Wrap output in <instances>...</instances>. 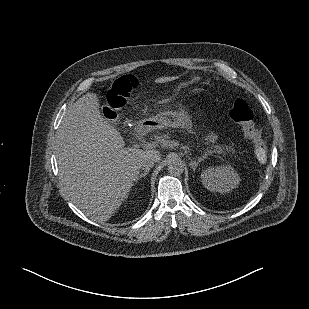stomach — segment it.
<instances>
[{
  "label": "stomach",
  "instance_id": "stomach-1",
  "mask_svg": "<svg viewBox=\"0 0 309 309\" xmlns=\"http://www.w3.org/2000/svg\"><path fill=\"white\" fill-rule=\"evenodd\" d=\"M156 128L177 127L182 128L190 121L187 108L182 107L177 111H168L146 119Z\"/></svg>",
  "mask_w": 309,
  "mask_h": 309
}]
</instances>
